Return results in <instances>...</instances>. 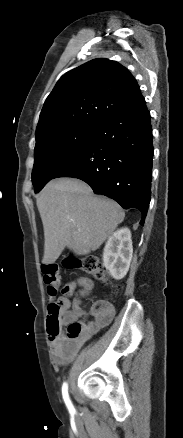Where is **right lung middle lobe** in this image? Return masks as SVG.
<instances>
[{
  "label": "right lung middle lobe",
  "instance_id": "1",
  "mask_svg": "<svg viewBox=\"0 0 183 438\" xmlns=\"http://www.w3.org/2000/svg\"><path fill=\"white\" fill-rule=\"evenodd\" d=\"M94 125H78L47 132L36 139L32 183L39 192L90 142Z\"/></svg>",
  "mask_w": 183,
  "mask_h": 438
}]
</instances>
